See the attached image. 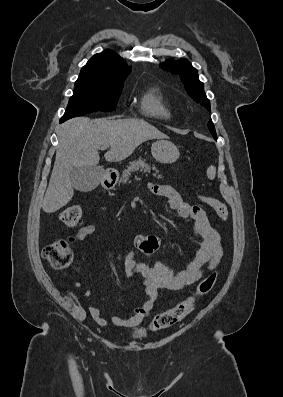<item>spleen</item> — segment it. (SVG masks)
Here are the masks:
<instances>
[{"label": "spleen", "instance_id": "obj_1", "mask_svg": "<svg viewBox=\"0 0 283 397\" xmlns=\"http://www.w3.org/2000/svg\"><path fill=\"white\" fill-rule=\"evenodd\" d=\"M215 175H216V168L213 165L209 166V168L207 169V177L210 180H213L215 178Z\"/></svg>", "mask_w": 283, "mask_h": 397}]
</instances>
